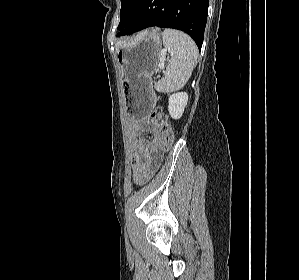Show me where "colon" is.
<instances>
[{"label":"colon","instance_id":"5ec220e1","mask_svg":"<svg viewBox=\"0 0 299 280\" xmlns=\"http://www.w3.org/2000/svg\"><path fill=\"white\" fill-rule=\"evenodd\" d=\"M148 119L150 122L161 128V130L164 132L166 137L165 149L169 148L174 141V131L162 108L159 106L155 107L149 114Z\"/></svg>","mask_w":299,"mask_h":280}]
</instances>
